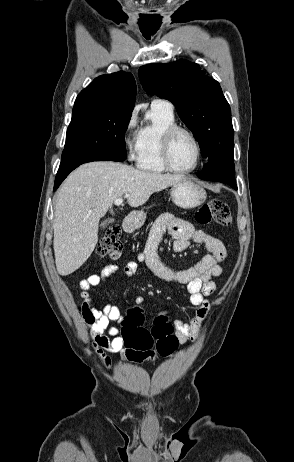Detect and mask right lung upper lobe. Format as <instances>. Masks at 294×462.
<instances>
[{"mask_svg":"<svg viewBox=\"0 0 294 462\" xmlns=\"http://www.w3.org/2000/svg\"><path fill=\"white\" fill-rule=\"evenodd\" d=\"M136 100V82L124 71L101 75L77 96L73 110L108 109L132 112Z\"/></svg>","mask_w":294,"mask_h":462,"instance_id":"obj_1","label":"right lung upper lobe"}]
</instances>
